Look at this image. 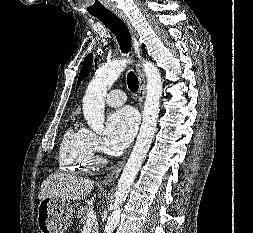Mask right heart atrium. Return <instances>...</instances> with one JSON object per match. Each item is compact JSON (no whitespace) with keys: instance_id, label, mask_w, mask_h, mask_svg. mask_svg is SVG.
Returning a JSON list of instances; mask_svg holds the SVG:
<instances>
[{"instance_id":"1","label":"right heart atrium","mask_w":253,"mask_h":233,"mask_svg":"<svg viewBox=\"0 0 253 233\" xmlns=\"http://www.w3.org/2000/svg\"><path fill=\"white\" fill-rule=\"evenodd\" d=\"M89 135H90V142H91V147L93 151L96 153L103 152L104 148H103V143L100 137L91 131H89Z\"/></svg>"}]
</instances>
